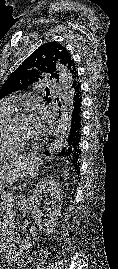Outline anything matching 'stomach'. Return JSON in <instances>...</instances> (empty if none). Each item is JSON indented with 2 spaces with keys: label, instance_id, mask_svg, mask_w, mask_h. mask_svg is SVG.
Listing matches in <instances>:
<instances>
[{
  "label": "stomach",
  "instance_id": "0dacf381",
  "mask_svg": "<svg viewBox=\"0 0 118 269\" xmlns=\"http://www.w3.org/2000/svg\"><path fill=\"white\" fill-rule=\"evenodd\" d=\"M40 165L41 160L31 155L0 166V194L7 185L35 174Z\"/></svg>",
  "mask_w": 118,
  "mask_h": 269
}]
</instances>
